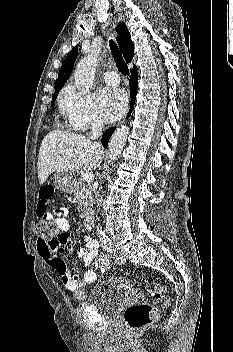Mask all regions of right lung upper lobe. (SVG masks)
Here are the masks:
<instances>
[{
	"label": "right lung upper lobe",
	"mask_w": 233,
	"mask_h": 352,
	"mask_svg": "<svg viewBox=\"0 0 233 352\" xmlns=\"http://www.w3.org/2000/svg\"><path fill=\"white\" fill-rule=\"evenodd\" d=\"M117 43L120 46V49L123 53V56L127 63L131 62L134 56V44L130 38V33L123 22H119L117 26ZM78 54V45H76L64 59L62 67L59 71V76L55 82V91L60 90L65 82L69 79L72 69L77 58ZM133 69H136L134 67ZM132 69V70H133Z\"/></svg>",
	"instance_id": "cb5924a9"
}]
</instances>
